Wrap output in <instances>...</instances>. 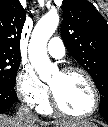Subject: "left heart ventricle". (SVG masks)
<instances>
[{"instance_id":"obj_1","label":"left heart ventricle","mask_w":108,"mask_h":127,"mask_svg":"<svg viewBox=\"0 0 108 127\" xmlns=\"http://www.w3.org/2000/svg\"><path fill=\"white\" fill-rule=\"evenodd\" d=\"M64 110L72 114H83L90 110L93 95L85 78L79 73L57 72L49 81Z\"/></svg>"}]
</instances>
